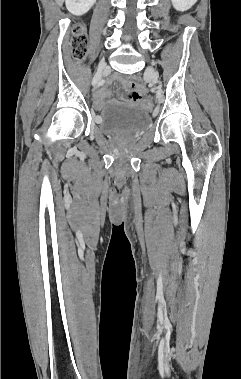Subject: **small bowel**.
Instances as JSON below:
<instances>
[{
    "mask_svg": "<svg viewBox=\"0 0 241 379\" xmlns=\"http://www.w3.org/2000/svg\"><path fill=\"white\" fill-rule=\"evenodd\" d=\"M108 84L104 85L101 89H99L94 96V106L96 109H101L106 104V98L109 96L110 91L108 88ZM122 85L124 87L123 99L131 102V103H142L143 92L134 90L137 85L133 81H122Z\"/></svg>",
    "mask_w": 241,
    "mask_h": 379,
    "instance_id": "obj_1",
    "label": "small bowel"
}]
</instances>
